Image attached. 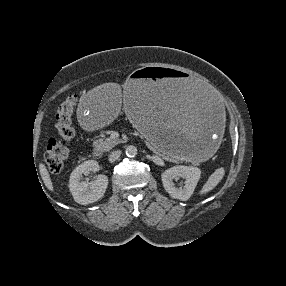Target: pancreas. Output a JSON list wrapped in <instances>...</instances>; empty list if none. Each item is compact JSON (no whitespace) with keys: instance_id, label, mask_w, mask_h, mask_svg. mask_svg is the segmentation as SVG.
I'll use <instances>...</instances> for the list:
<instances>
[{"instance_id":"1","label":"pancreas","mask_w":286,"mask_h":286,"mask_svg":"<svg viewBox=\"0 0 286 286\" xmlns=\"http://www.w3.org/2000/svg\"><path fill=\"white\" fill-rule=\"evenodd\" d=\"M121 141L119 139H113L111 137H108L106 139H98V140H95L93 142V146H94V149L95 150H98V151H109L111 150L115 145H117L118 143H120ZM149 148L159 154L158 150L155 148V147H152V146H149ZM166 160H174L175 156L174 155H171V154H168V157L167 156H163Z\"/></svg>"}]
</instances>
